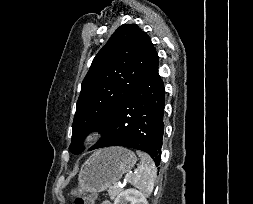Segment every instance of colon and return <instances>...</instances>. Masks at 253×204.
<instances>
[{
	"mask_svg": "<svg viewBox=\"0 0 253 204\" xmlns=\"http://www.w3.org/2000/svg\"><path fill=\"white\" fill-rule=\"evenodd\" d=\"M75 204H94V197L89 194H83L75 199Z\"/></svg>",
	"mask_w": 253,
	"mask_h": 204,
	"instance_id": "5ec220e1",
	"label": "colon"
}]
</instances>
